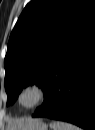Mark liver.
Segmentation results:
<instances>
[{
    "label": "liver",
    "instance_id": "1",
    "mask_svg": "<svg viewBox=\"0 0 95 130\" xmlns=\"http://www.w3.org/2000/svg\"><path fill=\"white\" fill-rule=\"evenodd\" d=\"M27 120L25 119H20V120H13L10 123V126H8L7 130H16L17 128H21V126H23V124L26 122Z\"/></svg>",
    "mask_w": 95,
    "mask_h": 130
}]
</instances>
